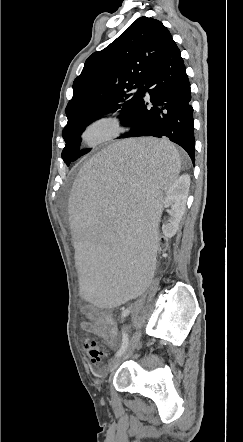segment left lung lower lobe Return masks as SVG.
<instances>
[{
	"label": "left lung lower lobe",
	"instance_id": "left-lung-lower-lobe-1",
	"mask_svg": "<svg viewBox=\"0 0 243 442\" xmlns=\"http://www.w3.org/2000/svg\"><path fill=\"white\" fill-rule=\"evenodd\" d=\"M136 113L124 124L131 130L119 138L153 136L181 146L194 163V119L191 90L180 50L169 35L149 69ZM149 88V89H146ZM148 91L151 109L143 97Z\"/></svg>",
	"mask_w": 243,
	"mask_h": 442
}]
</instances>
